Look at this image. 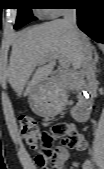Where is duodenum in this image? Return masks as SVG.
I'll list each match as a JSON object with an SVG mask.
<instances>
[{"instance_id": "duodenum-1", "label": "duodenum", "mask_w": 104, "mask_h": 169, "mask_svg": "<svg viewBox=\"0 0 104 169\" xmlns=\"http://www.w3.org/2000/svg\"><path fill=\"white\" fill-rule=\"evenodd\" d=\"M56 77L62 78V75L57 74ZM89 105L90 100H87L85 97H82L79 103L74 107L73 116L77 122L83 123L88 121Z\"/></svg>"}]
</instances>
